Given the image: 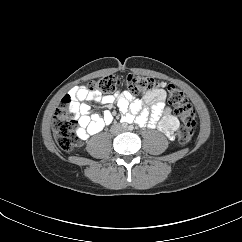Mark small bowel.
Returning <instances> with one entry per match:
<instances>
[{"instance_id":"1","label":"small bowel","mask_w":242,"mask_h":242,"mask_svg":"<svg viewBox=\"0 0 242 242\" xmlns=\"http://www.w3.org/2000/svg\"><path fill=\"white\" fill-rule=\"evenodd\" d=\"M164 84H159L149 91L144 100L133 99L129 93H122L118 96H102L98 92L88 91L85 87H78L72 93L73 99L67 104L69 115L77 121L76 135L81 140L99 133L106 125L113 120V113L105 111L103 116L91 111L89 103L98 102L110 105L115 102L123 114V120L135 122L141 126L155 127L160 117L164 120L160 130L169 138H174V133L179 127L178 120L171 114V109L166 106V91ZM150 105L145 110L143 103Z\"/></svg>"}]
</instances>
